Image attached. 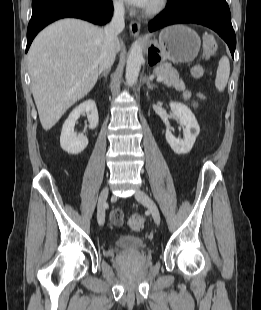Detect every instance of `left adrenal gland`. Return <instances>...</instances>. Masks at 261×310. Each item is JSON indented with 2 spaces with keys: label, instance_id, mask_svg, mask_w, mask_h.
Listing matches in <instances>:
<instances>
[{
  "label": "left adrenal gland",
  "instance_id": "obj_1",
  "mask_svg": "<svg viewBox=\"0 0 261 310\" xmlns=\"http://www.w3.org/2000/svg\"><path fill=\"white\" fill-rule=\"evenodd\" d=\"M146 83H147L148 89H153V88H156V87H157V85L151 84V83H150L149 78L146 79Z\"/></svg>",
  "mask_w": 261,
  "mask_h": 310
}]
</instances>
